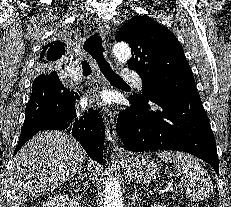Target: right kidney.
<instances>
[{
	"label": "right kidney",
	"instance_id": "ca27d5eb",
	"mask_svg": "<svg viewBox=\"0 0 231 207\" xmlns=\"http://www.w3.org/2000/svg\"><path fill=\"white\" fill-rule=\"evenodd\" d=\"M79 202L77 198H69L67 194H56L49 197L42 207H77Z\"/></svg>",
	"mask_w": 231,
	"mask_h": 207
}]
</instances>
